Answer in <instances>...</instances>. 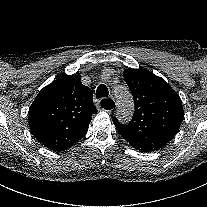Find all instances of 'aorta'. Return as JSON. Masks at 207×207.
I'll use <instances>...</instances> for the list:
<instances>
[{
  "instance_id": "1",
  "label": "aorta",
  "mask_w": 207,
  "mask_h": 207,
  "mask_svg": "<svg viewBox=\"0 0 207 207\" xmlns=\"http://www.w3.org/2000/svg\"><path fill=\"white\" fill-rule=\"evenodd\" d=\"M114 92L117 102V116L121 122L127 123L134 112L131 93L126 86L121 85L116 86Z\"/></svg>"
}]
</instances>
